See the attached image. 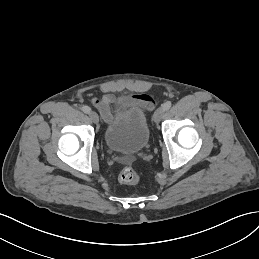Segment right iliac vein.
<instances>
[{
    "label": "right iliac vein",
    "instance_id": "1",
    "mask_svg": "<svg viewBox=\"0 0 259 259\" xmlns=\"http://www.w3.org/2000/svg\"><path fill=\"white\" fill-rule=\"evenodd\" d=\"M89 117H90V119H91V121H92L93 123L97 124V123L99 122V117H98V115H97L96 112L90 111V112H89Z\"/></svg>",
    "mask_w": 259,
    "mask_h": 259
}]
</instances>
